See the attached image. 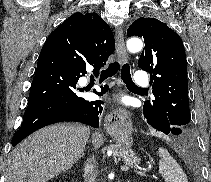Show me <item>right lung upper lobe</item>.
<instances>
[{"label":"right lung upper lobe","mask_w":211,"mask_h":182,"mask_svg":"<svg viewBox=\"0 0 211 182\" xmlns=\"http://www.w3.org/2000/svg\"><path fill=\"white\" fill-rule=\"evenodd\" d=\"M63 24L82 51L103 67L115 49L114 35L107 23L97 13H74Z\"/></svg>","instance_id":"1"}]
</instances>
